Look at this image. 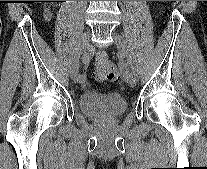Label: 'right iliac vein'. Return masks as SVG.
<instances>
[{
    "instance_id": "63e3f726",
    "label": "right iliac vein",
    "mask_w": 207,
    "mask_h": 169,
    "mask_svg": "<svg viewBox=\"0 0 207 169\" xmlns=\"http://www.w3.org/2000/svg\"><path fill=\"white\" fill-rule=\"evenodd\" d=\"M89 40H90V32L86 31L82 38H81V42L79 45V50H78V55H77V59L74 61L71 69H70V76L72 78V80L74 82H79L78 81V71H79V57L82 53H84L86 51V49L88 48L89 45Z\"/></svg>"
}]
</instances>
